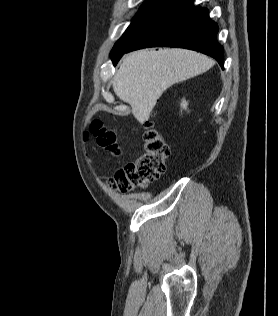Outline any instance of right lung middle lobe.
Wrapping results in <instances>:
<instances>
[{"mask_svg":"<svg viewBox=\"0 0 278 316\" xmlns=\"http://www.w3.org/2000/svg\"><path fill=\"white\" fill-rule=\"evenodd\" d=\"M170 0H146L122 37L115 43L111 58L132 46L153 24Z\"/></svg>","mask_w":278,"mask_h":316,"instance_id":"dd1d6c3e","label":"right lung middle lobe"}]
</instances>
